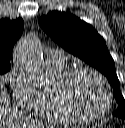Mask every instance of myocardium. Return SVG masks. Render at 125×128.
I'll return each instance as SVG.
<instances>
[{"instance_id":"1","label":"myocardium","mask_w":125,"mask_h":128,"mask_svg":"<svg viewBox=\"0 0 125 128\" xmlns=\"http://www.w3.org/2000/svg\"><path fill=\"white\" fill-rule=\"evenodd\" d=\"M84 73H89L93 76H95L102 84L105 95H106V105L104 109L98 113V114H86L82 112L77 105L75 104L71 90H72V85L75 82V80ZM59 96L61 99V102L65 106V108L78 120L82 122H93L97 121L103 117H105L111 107H112V102H113V95L110 89V85L106 78L97 70L87 67V66H82V67H77L69 71V73L65 76L63 81L60 83L59 88H58Z\"/></svg>"}]
</instances>
